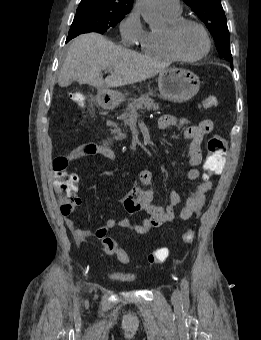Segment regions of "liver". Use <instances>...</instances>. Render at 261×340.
<instances>
[{"label": "liver", "instance_id": "1", "mask_svg": "<svg viewBox=\"0 0 261 340\" xmlns=\"http://www.w3.org/2000/svg\"><path fill=\"white\" fill-rule=\"evenodd\" d=\"M166 67L168 64L118 46L98 33H86L71 43L58 84L67 87L77 81L108 89L144 81ZM103 70H111V75L103 79Z\"/></svg>", "mask_w": 261, "mask_h": 340}]
</instances>
